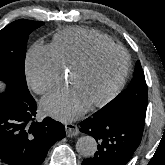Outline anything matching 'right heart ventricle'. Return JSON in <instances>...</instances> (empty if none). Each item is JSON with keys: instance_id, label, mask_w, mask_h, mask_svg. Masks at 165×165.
<instances>
[{"instance_id": "1", "label": "right heart ventricle", "mask_w": 165, "mask_h": 165, "mask_svg": "<svg viewBox=\"0 0 165 165\" xmlns=\"http://www.w3.org/2000/svg\"><path fill=\"white\" fill-rule=\"evenodd\" d=\"M114 43L96 30L73 27L57 33L51 44L62 69L70 71L93 47Z\"/></svg>"}]
</instances>
